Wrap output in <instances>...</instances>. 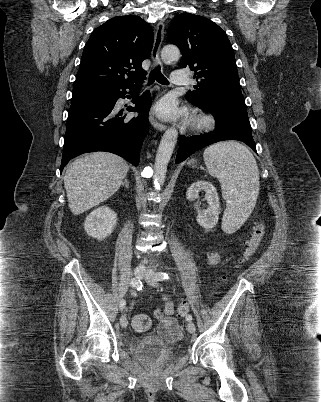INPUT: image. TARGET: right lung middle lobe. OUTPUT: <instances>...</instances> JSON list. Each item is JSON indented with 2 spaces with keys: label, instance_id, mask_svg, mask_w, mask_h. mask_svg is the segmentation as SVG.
Listing matches in <instances>:
<instances>
[{
  "label": "right lung middle lobe",
  "instance_id": "dd1d6c3e",
  "mask_svg": "<svg viewBox=\"0 0 321 402\" xmlns=\"http://www.w3.org/2000/svg\"><path fill=\"white\" fill-rule=\"evenodd\" d=\"M104 89V86L98 85H81L74 86L72 97L85 96L91 94H100Z\"/></svg>",
  "mask_w": 321,
  "mask_h": 402
}]
</instances>
